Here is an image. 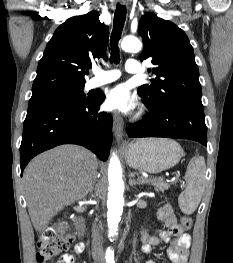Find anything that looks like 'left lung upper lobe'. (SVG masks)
I'll list each match as a JSON object with an SVG mask.
<instances>
[{
  "mask_svg": "<svg viewBox=\"0 0 233 263\" xmlns=\"http://www.w3.org/2000/svg\"><path fill=\"white\" fill-rule=\"evenodd\" d=\"M139 34L144 48L140 60H151L153 85L138 88L150 111L161 110L178 101L201 103L199 71L193 48L183 30L155 14L142 16Z\"/></svg>",
  "mask_w": 233,
  "mask_h": 263,
  "instance_id": "1",
  "label": "left lung upper lobe"
}]
</instances>
